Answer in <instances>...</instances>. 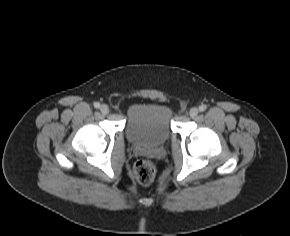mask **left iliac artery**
Wrapping results in <instances>:
<instances>
[{
    "label": "left iliac artery",
    "mask_w": 290,
    "mask_h": 236,
    "mask_svg": "<svg viewBox=\"0 0 290 236\" xmlns=\"http://www.w3.org/2000/svg\"><path fill=\"white\" fill-rule=\"evenodd\" d=\"M199 110H200L201 112L205 111V110H206V106H205V105H201V106L199 107Z\"/></svg>",
    "instance_id": "1"
}]
</instances>
